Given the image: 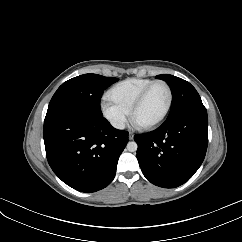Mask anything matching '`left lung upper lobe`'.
Returning <instances> with one entry per match:
<instances>
[{
	"mask_svg": "<svg viewBox=\"0 0 242 242\" xmlns=\"http://www.w3.org/2000/svg\"><path fill=\"white\" fill-rule=\"evenodd\" d=\"M157 78L164 80L172 90V106L168 118L190 108L204 107L198 92L189 82L169 74L158 75Z\"/></svg>",
	"mask_w": 242,
	"mask_h": 242,
	"instance_id": "5c2ea615",
	"label": "left lung upper lobe"
}]
</instances>
